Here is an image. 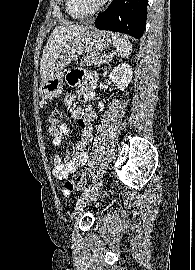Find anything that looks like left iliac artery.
Masks as SVG:
<instances>
[{
  "mask_svg": "<svg viewBox=\"0 0 195 270\" xmlns=\"http://www.w3.org/2000/svg\"><path fill=\"white\" fill-rule=\"evenodd\" d=\"M91 187H92V184L89 185L87 188H85V190H84L82 196L80 197V199H81L85 194H87V193L90 191Z\"/></svg>",
  "mask_w": 195,
  "mask_h": 270,
  "instance_id": "obj_1",
  "label": "left iliac artery"
}]
</instances>
